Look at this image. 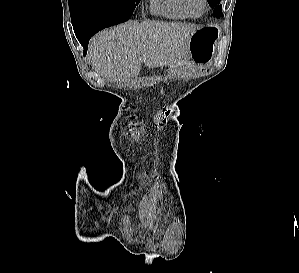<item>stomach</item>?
Masks as SVG:
<instances>
[{
  "label": "stomach",
  "mask_w": 299,
  "mask_h": 273,
  "mask_svg": "<svg viewBox=\"0 0 299 273\" xmlns=\"http://www.w3.org/2000/svg\"><path fill=\"white\" fill-rule=\"evenodd\" d=\"M218 39L219 29L215 25L197 29L189 41V52L193 64L201 66L210 64L216 53Z\"/></svg>",
  "instance_id": "1"
}]
</instances>
